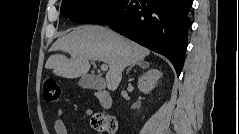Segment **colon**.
I'll return each mask as SVG.
<instances>
[{"label":"colon","mask_w":239,"mask_h":134,"mask_svg":"<svg viewBox=\"0 0 239 134\" xmlns=\"http://www.w3.org/2000/svg\"><path fill=\"white\" fill-rule=\"evenodd\" d=\"M43 97L47 102H57L61 97V89L57 81L47 77L43 81ZM92 127L104 134H116L118 130L117 120L106 114H95L91 118Z\"/></svg>","instance_id":"1"}]
</instances>
